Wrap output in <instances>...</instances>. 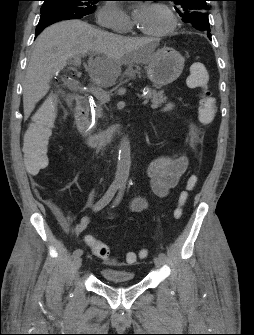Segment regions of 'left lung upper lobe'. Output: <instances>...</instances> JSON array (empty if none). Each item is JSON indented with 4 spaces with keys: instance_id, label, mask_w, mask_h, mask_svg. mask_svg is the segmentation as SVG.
I'll list each match as a JSON object with an SVG mask.
<instances>
[{
    "instance_id": "5c2ea615",
    "label": "left lung upper lobe",
    "mask_w": 254,
    "mask_h": 335,
    "mask_svg": "<svg viewBox=\"0 0 254 335\" xmlns=\"http://www.w3.org/2000/svg\"><path fill=\"white\" fill-rule=\"evenodd\" d=\"M176 4V11L182 20L191 23L196 29L208 33L211 36L208 20V0H170Z\"/></svg>"
}]
</instances>
